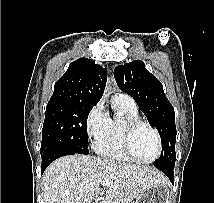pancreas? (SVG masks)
Returning <instances> with one entry per match:
<instances>
[{"instance_id":"obj_1","label":"pancreas","mask_w":214,"mask_h":203,"mask_svg":"<svg viewBox=\"0 0 214 203\" xmlns=\"http://www.w3.org/2000/svg\"><path fill=\"white\" fill-rule=\"evenodd\" d=\"M104 203H128L127 201L121 200V199H115L111 202H104Z\"/></svg>"}]
</instances>
